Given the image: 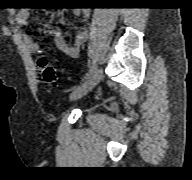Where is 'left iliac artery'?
Here are the masks:
<instances>
[{
    "label": "left iliac artery",
    "instance_id": "1",
    "mask_svg": "<svg viewBox=\"0 0 192 180\" xmlns=\"http://www.w3.org/2000/svg\"><path fill=\"white\" fill-rule=\"evenodd\" d=\"M94 70H95V65L92 64L89 71L85 74L84 79L85 80L88 79L93 74Z\"/></svg>",
    "mask_w": 192,
    "mask_h": 180
}]
</instances>
